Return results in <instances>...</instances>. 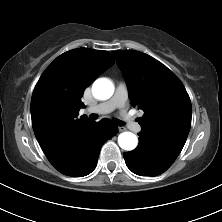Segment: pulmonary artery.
Instances as JSON below:
<instances>
[{"label": "pulmonary artery", "instance_id": "obj_1", "mask_svg": "<svg viewBox=\"0 0 222 222\" xmlns=\"http://www.w3.org/2000/svg\"><path fill=\"white\" fill-rule=\"evenodd\" d=\"M127 99L128 89L126 85L124 83H118L115 89V93L110 100L94 107H89L86 109V111L89 113L106 114L112 112L115 109H121L122 117L126 125L132 130L139 131L141 129L140 125L135 122L129 114L124 112Z\"/></svg>", "mask_w": 222, "mask_h": 222}]
</instances>
